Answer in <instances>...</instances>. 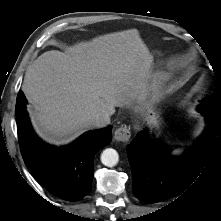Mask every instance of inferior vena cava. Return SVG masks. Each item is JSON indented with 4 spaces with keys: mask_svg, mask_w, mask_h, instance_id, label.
<instances>
[{
    "mask_svg": "<svg viewBox=\"0 0 221 221\" xmlns=\"http://www.w3.org/2000/svg\"><path fill=\"white\" fill-rule=\"evenodd\" d=\"M113 113H114V108L113 107H111L107 111L98 112L90 118L89 124L93 128L106 127L110 123V116Z\"/></svg>",
    "mask_w": 221,
    "mask_h": 221,
    "instance_id": "602c4592",
    "label": "inferior vena cava"
}]
</instances>
